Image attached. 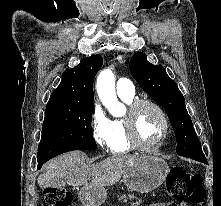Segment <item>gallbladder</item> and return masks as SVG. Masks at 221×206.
Returning a JSON list of instances; mask_svg holds the SVG:
<instances>
[{
    "label": "gallbladder",
    "instance_id": "gallbladder-1",
    "mask_svg": "<svg viewBox=\"0 0 221 206\" xmlns=\"http://www.w3.org/2000/svg\"><path fill=\"white\" fill-rule=\"evenodd\" d=\"M59 184H63L61 180L39 181V186H43V190H52V186H58Z\"/></svg>",
    "mask_w": 221,
    "mask_h": 206
}]
</instances>
